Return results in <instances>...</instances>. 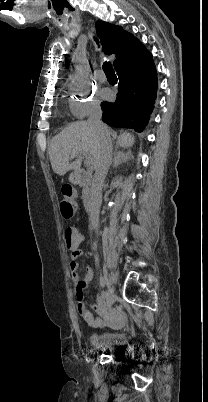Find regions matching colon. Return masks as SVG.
I'll return each instance as SVG.
<instances>
[{"mask_svg": "<svg viewBox=\"0 0 208 402\" xmlns=\"http://www.w3.org/2000/svg\"><path fill=\"white\" fill-rule=\"evenodd\" d=\"M74 192V187L69 184H63L61 187V194L63 196L70 197ZM75 211V208L73 205H62L61 207V212L62 214H73ZM67 220H72V215H67ZM64 240L66 247L72 251V254L70 255V258L72 260H75L77 258V255H83L84 254V249L83 248H78L79 247V234L74 228H67L64 231ZM84 294H87V289L84 290ZM89 304V299L88 298H83L82 301L80 302L79 309L82 317H86L88 314V305Z\"/></svg>", "mask_w": 208, "mask_h": 402, "instance_id": "1", "label": "colon"}]
</instances>
